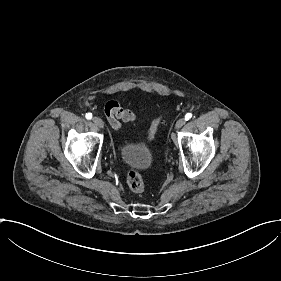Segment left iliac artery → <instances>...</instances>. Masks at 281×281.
I'll return each mask as SVG.
<instances>
[{"instance_id":"obj_1","label":"left iliac artery","mask_w":281,"mask_h":281,"mask_svg":"<svg viewBox=\"0 0 281 281\" xmlns=\"http://www.w3.org/2000/svg\"><path fill=\"white\" fill-rule=\"evenodd\" d=\"M191 117H192V114L191 113H187L185 115V120L188 121Z\"/></svg>"}]
</instances>
